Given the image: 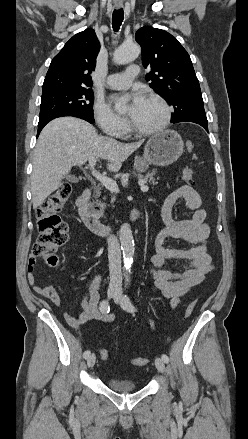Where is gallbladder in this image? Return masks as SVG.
Instances as JSON below:
<instances>
[{
    "label": "gallbladder",
    "mask_w": 248,
    "mask_h": 439,
    "mask_svg": "<svg viewBox=\"0 0 248 439\" xmlns=\"http://www.w3.org/2000/svg\"><path fill=\"white\" fill-rule=\"evenodd\" d=\"M68 179H69L71 182H76V181H77V178H76L75 176H68Z\"/></svg>",
    "instance_id": "obj_1"
}]
</instances>
